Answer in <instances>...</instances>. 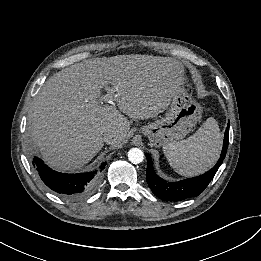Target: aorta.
<instances>
[{"label": "aorta", "instance_id": "obj_1", "mask_svg": "<svg viewBox=\"0 0 261 261\" xmlns=\"http://www.w3.org/2000/svg\"><path fill=\"white\" fill-rule=\"evenodd\" d=\"M128 159L133 164H139L144 160V153L139 148H131L128 152Z\"/></svg>", "mask_w": 261, "mask_h": 261}]
</instances>
